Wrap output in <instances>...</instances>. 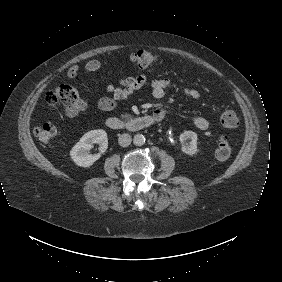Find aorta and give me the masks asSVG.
<instances>
[{"label":"aorta","instance_id":"aorta-1","mask_svg":"<svg viewBox=\"0 0 282 282\" xmlns=\"http://www.w3.org/2000/svg\"><path fill=\"white\" fill-rule=\"evenodd\" d=\"M146 138L143 134H135L133 137V143L135 146H142L145 144Z\"/></svg>","mask_w":282,"mask_h":282}]
</instances>
